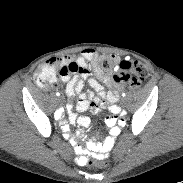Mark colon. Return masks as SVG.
I'll list each match as a JSON object with an SVG mask.
<instances>
[{
	"instance_id": "5ec220e1",
	"label": "colon",
	"mask_w": 183,
	"mask_h": 183,
	"mask_svg": "<svg viewBox=\"0 0 183 183\" xmlns=\"http://www.w3.org/2000/svg\"><path fill=\"white\" fill-rule=\"evenodd\" d=\"M98 66L105 73L114 72V81L117 84L126 85L131 90L140 88L148 76V68L144 63L139 61L119 60L114 55L100 56ZM55 79L56 69L51 67L45 69L40 68L35 75V81L42 87H47L52 84ZM104 163V161L97 162L92 157H88V162L85 166L94 170L98 165L102 166Z\"/></svg>"
}]
</instances>
